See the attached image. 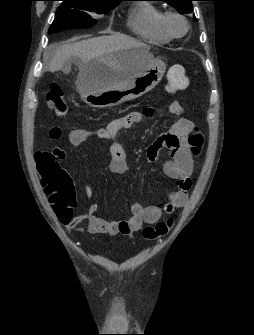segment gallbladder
I'll return each mask as SVG.
<instances>
[{"label": "gallbladder", "mask_w": 254, "mask_h": 335, "mask_svg": "<svg viewBox=\"0 0 254 335\" xmlns=\"http://www.w3.org/2000/svg\"><path fill=\"white\" fill-rule=\"evenodd\" d=\"M63 71H66V67H63Z\"/></svg>", "instance_id": "obj_1"}]
</instances>
